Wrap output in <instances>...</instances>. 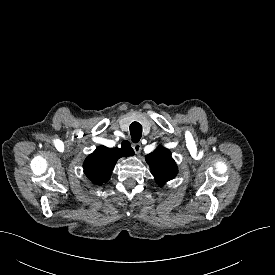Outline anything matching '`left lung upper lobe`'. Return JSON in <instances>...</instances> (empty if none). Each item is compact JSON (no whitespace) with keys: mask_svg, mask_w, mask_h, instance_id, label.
Returning a JSON list of instances; mask_svg holds the SVG:
<instances>
[{"mask_svg":"<svg viewBox=\"0 0 275 275\" xmlns=\"http://www.w3.org/2000/svg\"><path fill=\"white\" fill-rule=\"evenodd\" d=\"M146 161L157 183L160 186L175 178L178 168L171 156V152L159 146L146 156Z\"/></svg>","mask_w":275,"mask_h":275,"instance_id":"obj_1","label":"left lung upper lobe"}]
</instances>
